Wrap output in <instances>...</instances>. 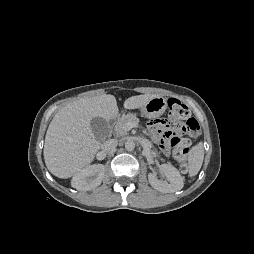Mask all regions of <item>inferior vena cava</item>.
I'll return each mask as SVG.
<instances>
[{
  "label": "inferior vena cava",
  "instance_id": "602c4592",
  "mask_svg": "<svg viewBox=\"0 0 254 254\" xmlns=\"http://www.w3.org/2000/svg\"><path fill=\"white\" fill-rule=\"evenodd\" d=\"M118 142L115 139H109L102 145V152L109 154L113 152L117 146Z\"/></svg>",
  "mask_w": 254,
  "mask_h": 254
}]
</instances>
